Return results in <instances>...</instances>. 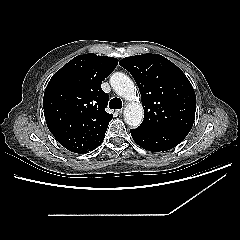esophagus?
<instances>
[{
	"label": "esophagus",
	"mask_w": 240,
	"mask_h": 240,
	"mask_svg": "<svg viewBox=\"0 0 240 240\" xmlns=\"http://www.w3.org/2000/svg\"><path fill=\"white\" fill-rule=\"evenodd\" d=\"M117 113H118V115L121 116L123 114V109L117 110Z\"/></svg>",
	"instance_id": "1"
}]
</instances>
